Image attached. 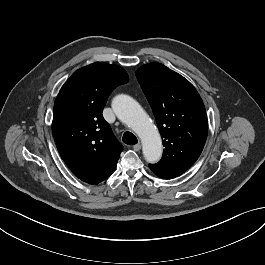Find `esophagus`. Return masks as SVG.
<instances>
[{"label":"esophagus","instance_id":"obj_1","mask_svg":"<svg viewBox=\"0 0 265 265\" xmlns=\"http://www.w3.org/2000/svg\"><path fill=\"white\" fill-rule=\"evenodd\" d=\"M133 149H134L135 151H139V150L141 149V144L138 143V144L134 145V146H133Z\"/></svg>","mask_w":265,"mask_h":265}]
</instances>
